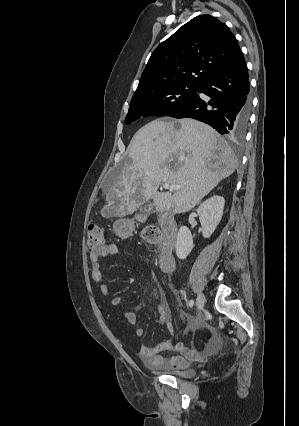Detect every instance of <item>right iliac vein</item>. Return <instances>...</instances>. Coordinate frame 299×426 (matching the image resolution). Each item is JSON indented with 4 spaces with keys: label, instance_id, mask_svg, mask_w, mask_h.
<instances>
[{
    "label": "right iliac vein",
    "instance_id": "right-iliac-vein-1",
    "mask_svg": "<svg viewBox=\"0 0 299 426\" xmlns=\"http://www.w3.org/2000/svg\"><path fill=\"white\" fill-rule=\"evenodd\" d=\"M204 303H205V296H204V294L200 293L197 296V299H196L197 309H199V310L202 309L204 307Z\"/></svg>",
    "mask_w": 299,
    "mask_h": 426
}]
</instances>
